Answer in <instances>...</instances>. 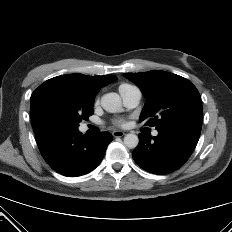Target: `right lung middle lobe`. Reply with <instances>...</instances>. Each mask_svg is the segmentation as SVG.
Masks as SVG:
<instances>
[{"mask_svg":"<svg viewBox=\"0 0 232 232\" xmlns=\"http://www.w3.org/2000/svg\"><path fill=\"white\" fill-rule=\"evenodd\" d=\"M94 99L74 84L41 85L31 96V119L35 134L50 130H78L93 114Z\"/></svg>","mask_w":232,"mask_h":232,"instance_id":"right-lung-middle-lobe-1","label":"right lung middle lobe"}]
</instances>
